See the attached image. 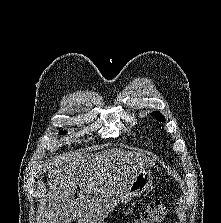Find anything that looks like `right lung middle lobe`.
I'll use <instances>...</instances> for the list:
<instances>
[{
    "label": "right lung middle lobe",
    "instance_id": "dd1d6c3e",
    "mask_svg": "<svg viewBox=\"0 0 221 223\" xmlns=\"http://www.w3.org/2000/svg\"><path fill=\"white\" fill-rule=\"evenodd\" d=\"M61 135H63V134H66V131H61V133H60Z\"/></svg>",
    "mask_w": 221,
    "mask_h": 223
}]
</instances>
